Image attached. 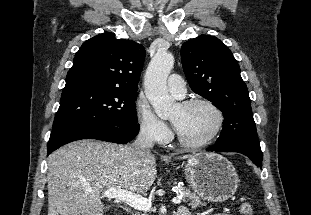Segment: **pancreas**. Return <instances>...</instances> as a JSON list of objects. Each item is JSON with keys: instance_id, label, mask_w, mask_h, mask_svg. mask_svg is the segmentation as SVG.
<instances>
[{"instance_id": "obj_1", "label": "pancreas", "mask_w": 311, "mask_h": 215, "mask_svg": "<svg viewBox=\"0 0 311 215\" xmlns=\"http://www.w3.org/2000/svg\"><path fill=\"white\" fill-rule=\"evenodd\" d=\"M179 191L183 196V200L188 201L189 202L188 205L191 206L192 208H196L199 205L201 206L206 205L204 202L201 201L200 197L196 193L191 192L189 189L181 186L179 187ZM136 215H146V214L137 213Z\"/></svg>"}]
</instances>
